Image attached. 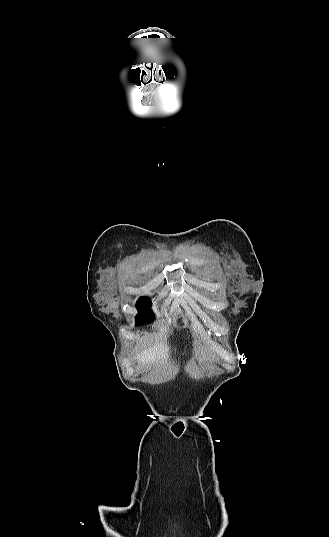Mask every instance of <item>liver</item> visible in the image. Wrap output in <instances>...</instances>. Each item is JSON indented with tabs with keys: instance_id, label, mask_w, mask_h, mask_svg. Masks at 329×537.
Segmentation results:
<instances>
[{
	"instance_id": "6515ba94",
	"label": "liver",
	"mask_w": 329,
	"mask_h": 537,
	"mask_svg": "<svg viewBox=\"0 0 329 537\" xmlns=\"http://www.w3.org/2000/svg\"><path fill=\"white\" fill-rule=\"evenodd\" d=\"M168 347L165 344L155 345L137 355L139 363L142 365L157 363L163 361L168 356Z\"/></svg>"
}]
</instances>
